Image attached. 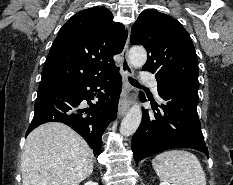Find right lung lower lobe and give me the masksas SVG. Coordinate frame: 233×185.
I'll return each mask as SVG.
<instances>
[{
	"label": "right lung lower lobe",
	"mask_w": 233,
	"mask_h": 185,
	"mask_svg": "<svg viewBox=\"0 0 233 185\" xmlns=\"http://www.w3.org/2000/svg\"><path fill=\"white\" fill-rule=\"evenodd\" d=\"M121 85L122 78L116 68L95 79L39 88L34 118L26 136L43 123L62 122L78 132L93 149L94 155H98L102 147L101 137L117 115ZM95 96L98 102L93 104L91 100ZM83 100L88 102V107L84 106Z\"/></svg>",
	"instance_id": "obj_1"
}]
</instances>
